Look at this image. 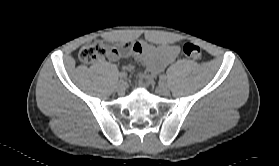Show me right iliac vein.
I'll list each match as a JSON object with an SVG mask.
<instances>
[{
	"label": "right iliac vein",
	"instance_id": "63e3f726",
	"mask_svg": "<svg viewBox=\"0 0 279 166\" xmlns=\"http://www.w3.org/2000/svg\"><path fill=\"white\" fill-rule=\"evenodd\" d=\"M126 89V82L124 80H120L118 81V83L116 84V90L119 93L124 92Z\"/></svg>",
	"mask_w": 279,
	"mask_h": 166
}]
</instances>
